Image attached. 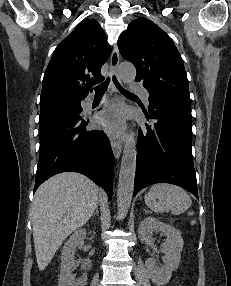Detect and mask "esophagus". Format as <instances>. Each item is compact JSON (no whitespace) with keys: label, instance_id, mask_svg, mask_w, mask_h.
<instances>
[{"label":"esophagus","instance_id":"1","mask_svg":"<svg viewBox=\"0 0 231 286\" xmlns=\"http://www.w3.org/2000/svg\"><path fill=\"white\" fill-rule=\"evenodd\" d=\"M119 59L120 58H119L118 47L114 46L112 54H111V58H110V66H111L112 71L116 74L117 77H118L117 69H118ZM111 147H112V151H113L115 158L119 159L122 153V140L121 139L111 140Z\"/></svg>","mask_w":231,"mask_h":286}]
</instances>
